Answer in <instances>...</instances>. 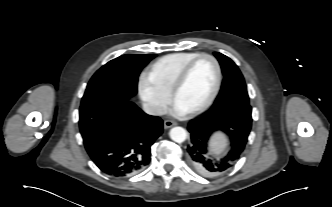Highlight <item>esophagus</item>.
Instances as JSON below:
<instances>
[{
  "mask_svg": "<svg viewBox=\"0 0 332 207\" xmlns=\"http://www.w3.org/2000/svg\"><path fill=\"white\" fill-rule=\"evenodd\" d=\"M175 125H177V123L175 121H172V120H165L164 121V128L165 129L171 128Z\"/></svg>",
  "mask_w": 332,
  "mask_h": 207,
  "instance_id": "1",
  "label": "esophagus"
}]
</instances>
